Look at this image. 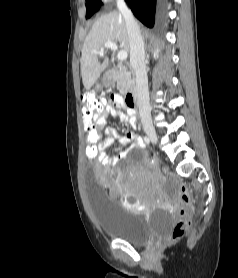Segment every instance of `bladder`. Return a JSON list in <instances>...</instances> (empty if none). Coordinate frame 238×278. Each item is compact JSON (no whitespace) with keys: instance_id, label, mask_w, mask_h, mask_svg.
<instances>
[{"instance_id":"31cf9c89","label":"bladder","mask_w":238,"mask_h":278,"mask_svg":"<svg viewBox=\"0 0 238 278\" xmlns=\"http://www.w3.org/2000/svg\"><path fill=\"white\" fill-rule=\"evenodd\" d=\"M85 180H96L94 172H85ZM89 202L97 226L103 234L139 245L152 236L167 232L174 225V217L165 210L153 212L150 218L126 209L97 181H86Z\"/></svg>"}]
</instances>
